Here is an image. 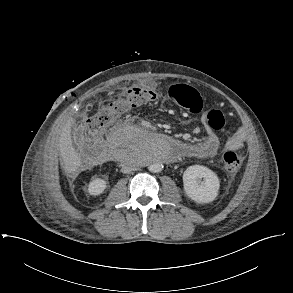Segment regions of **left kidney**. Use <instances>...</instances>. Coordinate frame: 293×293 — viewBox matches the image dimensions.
I'll list each match as a JSON object with an SVG mask.
<instances>
[{
  "mask_svg": "<svg viewBox=\"0 0 293 293\" xmlns=\"http://www.w3.org/2000/svg\"><path fill=\"white\" fill-rule=\"evenodd\" d=\"M183 184L186 195L201 204L214 201L220 187L215 172L202 165L189 166L183 174Z\"/></svg>",
  "mask_w": 293,
  "mask_h": 293,
  "instance_id": "left-kidney-1",
  "label": "left kidney"
}]
</instances>
